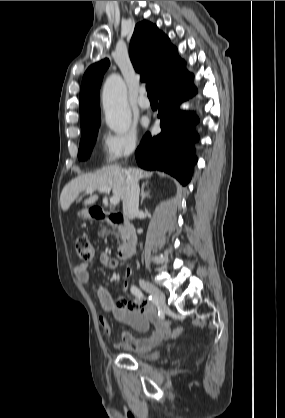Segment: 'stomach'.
I'll list each match as a JSON object with an SVG mask.
<instances>
[{"label": "stomach", "mask_w": 285, "mask_h": 418, "mask_svg": "<svg viewBox=\"0 0 285 418\" xmlns=\"http://www.w3.org/2000/svg\"><path fill=\"white\" fill-rule=\"evenodd\" d=\"M79 215L84 217V218L90 217V214L87 210H83V211L79 212Z\"/></svg>", "instance_id": "0dacf381"}]
</instances>
